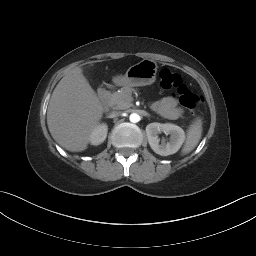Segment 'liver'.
<instances>
[{
  "instance_id": "liver-1",
  "label": "liver",
  "mask_w": 256,
  "mask_h": 256,
  "mask_svg": "<svg viewBox=\"0 0 256 256\" xmlns=\"http://www.w3.org/2000/svg\"><path fill=\"white\" fill-rule=\"evenodd\" d=\"M103 115L102 104L76 67L55 87L47 110V125L53 139L71 152L84 151L93 129Z\"/></svg>"
}]
</instances>
